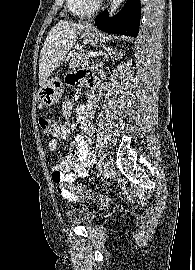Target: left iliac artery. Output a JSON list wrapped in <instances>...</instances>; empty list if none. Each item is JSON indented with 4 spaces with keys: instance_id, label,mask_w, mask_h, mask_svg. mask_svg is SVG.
I'll list each match as a JSON object with an SVG mask.
<instances>
[{
    "instance_id": "44dca946",
    "label": "left iliac artery",
    "mask_w": 195,
    "mask_h": 270,
    "mask_svg": "<svg viewBox=\"0 0 195 270\" xmlns=\"http://www.w3.org/2000/svg\"><path fill=\"white\" fill-rule=\"evenodd\" d=\"M102 165H103V160L100 159L99 162H98V170H101Z\"/></svg>"
}]
</instances>
